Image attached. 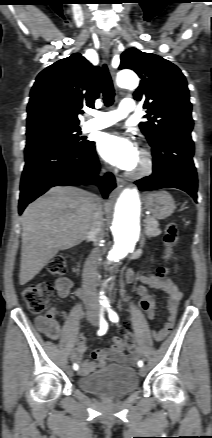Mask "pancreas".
<instances>
[{"label":"pancreas","mask_w":212,"mask_h":438,"mask_svg":"<svg viewBox=\"0 0 212 438\" xmlns=\"http://www.w3.org/2000/svg\"><path fill=\"white\" fill-rule=\"evenodd\" d=\"M159 223L156 218L147 216L146 217V225H145V234L151 238L156 237L161 234V230L158 228Z\"/></svg>","instance_id":"1"}]
</instances>
